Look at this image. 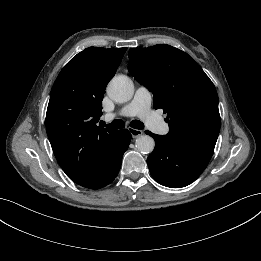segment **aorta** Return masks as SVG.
Instances as JSON below:
<instances>
[{
	"instance_id": "obj_1",
	"label": "aorta",
	"mask_w": 261,
	"mask_h": 261,
	"mask_svg": "<svg viewBox=\"0 0 261 261\" xmlns=\"http://www.w3.org/2000/svg\"><path fill=\"white\" fill-rule=\"evenodd\" d=\"M107 94L115 102H128L133 97L134 84L129 77L117 75L109 82ZM135 146L139 152L148 154L153 151L155 142L151 136L141 135L136 139Z\"/></svg>"
}]
</instances>
